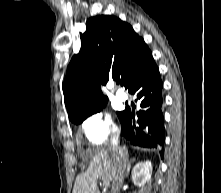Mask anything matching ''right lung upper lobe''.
Instances as JSON below:
<instances>
[{
	"label": "right lung upper lobe",
	"mask_w": 221,
	"mask_h": 193,
	"mask_svg": "<svg viewBox=\"0 0 221 193\" xmlns=\"http://www.w3.org/2000/svg\"><path fill=\"white\" fill-rule=\"evenodd\" d=\"M86 25V32L81 34L80 53L73 56L63 83L71 121L107 103L99 83L120 78L121 84L128 88L133 77L153 60L144 40L119 18L95 16Z\"/></svg>",
	"instance_id": "1"
}]
</instances>
